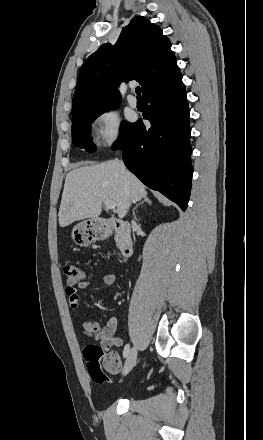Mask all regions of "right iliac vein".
I'll return each mask as SVG.
<instances>
[{
	"label": "right iliac vein",
	"mask_w": 263,
	"mask_h": 440,
	"mask_svg": "<svg viewBox=\"0 0 263 440\" xmlns=\"http://www.w3.org/2000/svg\"><path fill=\"white\" fill-rule=\"evenodd\" d=\"M137 359V347H133L131 351L129 352L124 369H123V375H127L131 369L134 367Z\"/></svg>",
	"instance_id": "obj_1"
}]
</instances>
